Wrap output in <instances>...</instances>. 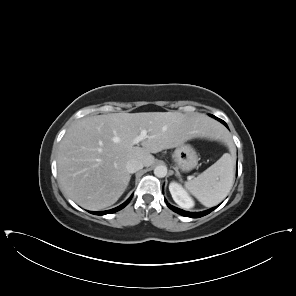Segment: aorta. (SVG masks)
<instances>
[{
    "instance_id": "obj_1",
    "label": "aorta",
    "mask_w": 296,
    "mask_h": 296,
    "mask_svg": "<svg viewBox=\"0 0 296 296\" xmlns=\"http://www.w3.org/2000/svg\"><path fill=\"white\" fill-rule=\"evenodd\" d=\"M154 174L156 177L163 178L167 174V167L165 165H158L154 169Z\"/></svg>"
}]
</instances>
